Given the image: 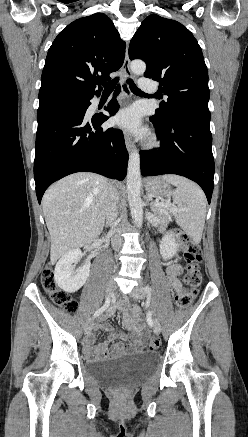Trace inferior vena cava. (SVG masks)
I'll return each mask as SVG.
<instances>
[{
    "instance_id": "1",
    "label": "inferior vena cava",
    "mask_w": 248,
    "mask_h": 437,
    "mask_svg": "<svg viewBox=\"0 0 248 437\" xmlns=\"http://www.w3.org/2000/svg\"><path fill=\"white\" fill-rule=\"evenodd\" d=\"M119 201V195L113 186H109L108 196L105 205V218L106 224L113 226L117 224V203ZM122 244L121 237L116 234L112 237V246L114 248L120 247Z\"/></svg>"
}]
</instances>
